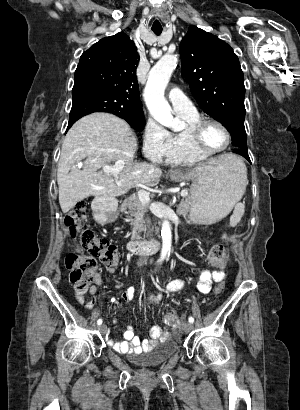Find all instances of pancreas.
Segmentation results:
<instances>
[{
  "mask_svg": "<svg viewBox=\"0 0 300 410\" xmlns=\"http://www.w3.org/2000/svg\"><path fill=\"white\" fill-rule=\"evenodd\" d=\"M190 204V197H184L178 205L177 213L183 217H186L190 211ZM121 211L126 214H130L131 217H129V220L131 221V225L136 226L145 213L146 208L140 201L138 195H132L124 200L121 205Z\"/></svg>",
  "mask_w": 300,
  "mask_h": 410,
  "instance_id": "obj_1",
  "label": "pancreas"
}]
</instances>
